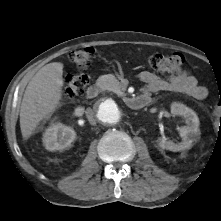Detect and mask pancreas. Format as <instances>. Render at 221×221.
Returning a JSON list of instances; mask_svg holds the SVG:
<instances>
[{"label": "pancreas", "instance_id": "pancreas-1", "mask_svg": "<svg viewBox=\"0 0 221 221\" xmlns=\"http://www.w3.org/2000/svg\"><path fill=\"white\" fill-rule=\"evenodd\" d=\"M97 85L103 90L118 92L121 89L120 82L112 74L103 75L97 80Z\"/></svg>", "mask_w": 221, "mask_h": 221}]
</instances>
